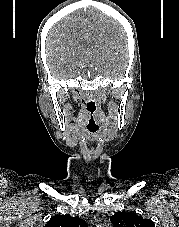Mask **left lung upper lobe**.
Listing matches in <instances>:
<instances>
[{"mask_svg": "<svg viewBox=\"0 0 179 227\" xmlns=\"http://www.w3.org/2000/svg\"><path fill=\"white\" fill-rule=\"evenodd\" d=\"M110 221L115 227H155L152 220L143 219L131 212H116L110 217Z\"/></svg>", "mask_w": 179, "mask_h": 227, "instance_id": "5c2ea615", "label": "left lung upper lobe"}]
</instances>
